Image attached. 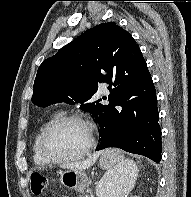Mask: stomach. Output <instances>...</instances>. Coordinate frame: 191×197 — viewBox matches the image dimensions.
<instances>
[{"label": "stomach", "mask_w": 191, "mask_h": 197, "mask_svg": "<svg viewBox=\"0 0 191 197\" xmlns=\"http://www.w3.org/2000/svg\"><path fill=\"white\" fill-rule=\"evenodd\" d=\"M123 156L113 152L112 150L104 151L99 159V165L105 170H111ZM60 182L66 188L83 193L89 186V179L83 170L67 169L60 174Z\"/></svg>", "instance_id": "0dacf381"}]
</instances>
